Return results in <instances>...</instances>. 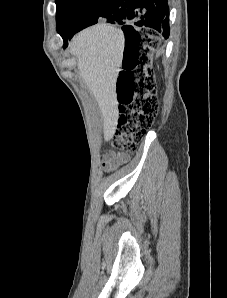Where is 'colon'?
<instances>
[{
    "instance_id": "5ec220e1",
    "label": "colon",
    "mask_w": 227,
    "mask_h": 298,
    "mask_svg": "<svg viewBox=\"0 0 227 298\" xmlns=\"http://www.w3.org/2000/svg\"><path fill=\"white\" fill-rule=\"evenodd\" d=\"M156 42L139 35L124 58L116 83L119 118L112 138L114 149L136 151L157 114L158 99L150 68Z\"/></svg>"
}]
</instances>
